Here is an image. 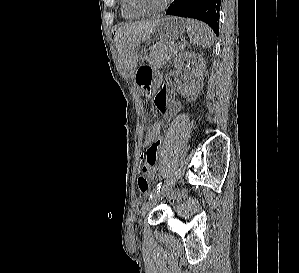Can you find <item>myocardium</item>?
Returning <instances> with one entry per match:
<instances>
[{
  "mask_svg": "<svg viewBox=\"0 0 299 273\" xmlns=\"http://www.w3.org/2000/svg\"><path fill=\"white\" fill-rule=\"evenodd\" d=\"M171 0H164L163 3L155 9H145L139 7L134 0H125L127 8L134 14L140 16L156 15L163 12L169 6Z\"/></svg>",
  "mask_w": 299,
  "mask_h": 273,
  "instance_id": "f54148a6",
  "label": "myocardium"
}]
</instances>
